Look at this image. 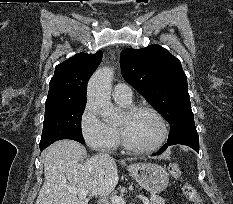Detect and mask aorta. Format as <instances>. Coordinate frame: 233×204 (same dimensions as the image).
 <instances>
[{
  "label": "aorta",
  "mask_w": 233,
  "mask_h": 204,
  "mask_svg": "<svg viewBox=\"0 0 233 204\" xmlns=\"http://www.w3.org/2000/svg\"><path fill=\"white\" fill-rule=\"evenodd\" d=\"M114 70L110 67L98 69L91 77L87 86L88 104L96 110L106 122L118 118L120 110L111 102V83Z\"/></svg>",
  "instance_id": "762f6f07"
}]
</instances>
